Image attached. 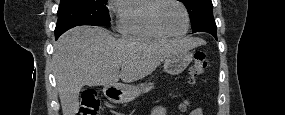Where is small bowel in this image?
Listing matches in <instances>:
<instances>
[{
	"instance_id": "small-bowel-1",
	"label": "small bowel",
	"mask_w": 285,
	"mask_h": 115,
	"mask_svg": "<svg viewBox=\"0 0 285 115\" xmlns=\"http://www.w3.org/2000/svg\"><path fill=\"white\" fill-rule=\"evenodd\" d=\"M153 115H165L166 114V107L161 103H157L152 108ZM190 115H203V110L201 108L194 109Z\"/></svg>"
}]
</instances>
